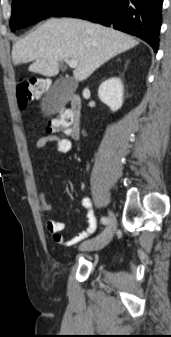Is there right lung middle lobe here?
<instances>
[{"label": "right lung middle lobe", "mask_w": 171, "mask_h": 337, "mask_svg": "<svg viewBox=\"0 0 171 337\" xmlns=\"http://www.w3.org/2000/svg\"><path fill=\"white\" fill-rule=\"evenodd\" d=\"M75 0H13L10 27L12 31L53 16Z\"/></svg>", "instance_id": "dd1d6c3e"}]
</instances>
